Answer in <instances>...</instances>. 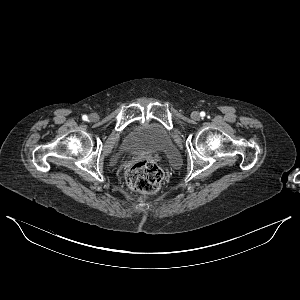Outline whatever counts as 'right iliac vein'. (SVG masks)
I'll list each match as a JSON object with an SVG mask.
<instances>
[{"mask_svg": "<svg viewBox=\"0 0 300 300\" xmlns=\"http://www.w3.org/2000/svg\"><path fill=\"white\" fill-rule=\"evenodd\" d=\"M89 119L92 122H95V121H97L99 119V116L96 113H92V114H90Z\"/></svg>", "mask_w": 300, "mask_h": 300, "instance_id": "63e3f726", "label": "right iliac vein"}]
</instances>
